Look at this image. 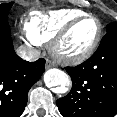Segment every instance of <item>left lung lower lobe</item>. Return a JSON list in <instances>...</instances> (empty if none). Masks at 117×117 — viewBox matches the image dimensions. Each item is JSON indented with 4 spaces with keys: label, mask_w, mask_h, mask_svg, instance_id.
Wrapping results in <instances>:
<instances>
[{
    "label": "left lung lower lobe",
    "mask_w": 117,
    "mask_h": 117,
    "mask_svg": "<svg viewBox=\"0 0 117 117\" xmlns=\"http://www.w3.org/2000/svg\"><path fill=\"white\" fill-rule=\"evenodd\" d=\"M70 93L57 100L63 117H114L117 114V27L107 31L85 62L65 68Z\"/></svg>",
    "instance_id": "left-lung-lower-lobe-1"
}]
</instances>
